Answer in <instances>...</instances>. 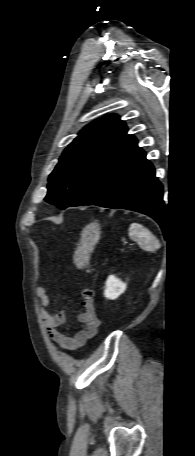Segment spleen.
I'll use <instances>...</instances> for the list:
<instances>
[{
  "label": "spleen",
  "mask_w": 195,
  "mask_h": 456,
  "mask_svg": "<svg viewBox=\"0 0 195 456\" xmlns=\"http://www.w3.org/2000/svg\"><path fill=\"white\" fill-rule=\"evenodd\" d=\"M129 236L137 240L143 249L151 251L159 246V242L155 236L141 224L132 223L129 227Z\"/></svg>",
  "instance_id": "1"
}]
</instances>
